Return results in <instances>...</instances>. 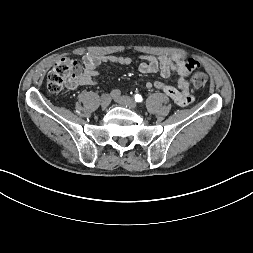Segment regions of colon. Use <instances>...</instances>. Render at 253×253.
Masks as SVG:
<instances>
[{"instance_id": "colon-1", "label": "colon", "mask_w": 253, "mask_h": 253, "mask_svg": "<svg viewBox=\"0 0 253 253\" xmlns=\"http://www.w3.org/2000/svg\"><path fill=\"white\" fill-rule=\"evenodd\" d=\"M190 65L195 69L190 77L194 88H204L208 82L207 75L199 69V64L191 60ZM84 72L83 65L74 58L66 57L58 60L47 78V89L50 93L62 92L67 86L72 85Z\"/></svg>"}]
</instances>
